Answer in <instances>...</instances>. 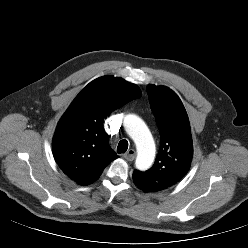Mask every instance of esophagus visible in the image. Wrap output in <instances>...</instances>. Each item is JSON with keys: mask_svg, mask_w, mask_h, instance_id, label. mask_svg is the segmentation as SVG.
Returning a JSON list of instances; mask_svg holds the SVG:
<instances>
[{"mask_svg": "<svg viewBox=\"0 0 248 248\" xmlns=\"http://www.w3.org/2000/svg\"><path fill=\"white\" fill-rule=\"evenodd\" d=\"M136 156V152L133 149L128 150L123 157L127 160V161H133L135 159Z\"/></svg>", "mask_w": 248, "mask_h": 248, "instance_id": "obj_1", "label": "esophagus"}]
</instances>
